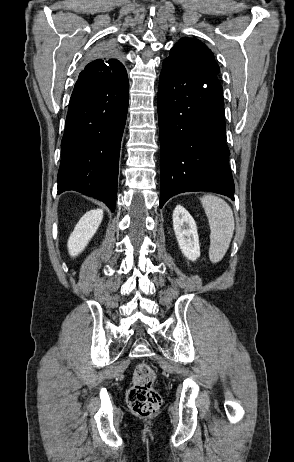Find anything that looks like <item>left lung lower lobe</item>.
<instances>
[{
	"label": "left lung lower lobe",
	"mask_w": 294,
	"mask_h": 462,
	"mask_svg": "<svg viewBox=\"0 0 294 462\" xmlns=\"http://www.w3.org/2000/svg\"><path fill=\"white\" fill-rule=\"evenodd\" d=\"M160 208L173 195L210 191L234 200L222 86L217 76L163 61L158 89Z\"/></svg>",
	"instance_id": "1"
}]
</instances>
